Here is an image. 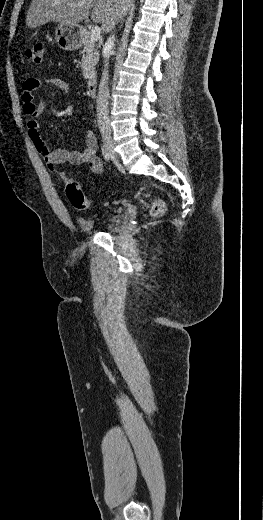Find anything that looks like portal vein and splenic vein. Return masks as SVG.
Listing matches in <instances>:
<instances>
[{"mask_svg":"<svg viewBox=\"0 0 263 520\" xmlns=\"http://www.w3.org/2000/svg\"><path fill=\"white\" fill-rule=\"evenodd\" d=\"M81 5V4H79ZM101 37V29L99 26H94L92 29H91V34H90V40L92 42H96L98 41V39Z\"/></svg>","mask_w":263,"mask_h":520,"instance_id":"1","label":"portal vein and splenic vein"}]
</instances>
